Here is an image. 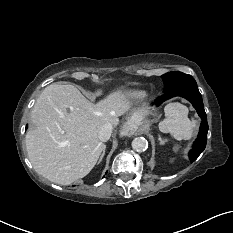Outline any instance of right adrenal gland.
<instances>
[{"label": "right adrenal gland", "instance_id": "obj_1", "mask_svg": "<svg viewBox=\"0 0 233 233\" xmlns=\"http://www.w3.org/2000/svg\"><path fill=\"white\" fill-rule=\"evenodd\" d=\"M105 151H106V145H104L103 152H102V154H101V156H100V159H99V161H98V164L102 161V159H103V157H104V155H105Z\"/></svg>", "mask_w": 233, "mask_h": 233}]
</instances>
